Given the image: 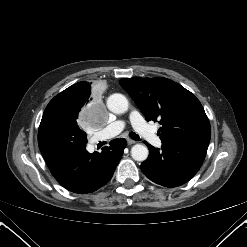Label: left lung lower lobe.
Masks as SVG:
<instances>
[{
	"mask_svg": "<svg viewBox=\"0 0 247 247\" xmlns=\"http://www.w3.org/2000/svg\"><path fill=\"white\" fill-rule=\"evenodd\" d=\"M208 139L188 138L162 143L155 149L147 142L149 156L141 164L144 174L165 187L180 186L189 181L200 169L209 145Z\"/></svg>",
	"mask_w": 247,
	"mask_h": 247,
	"instance_id": "1",
	"label": "left lung lower lobe"
}]
</instances>
